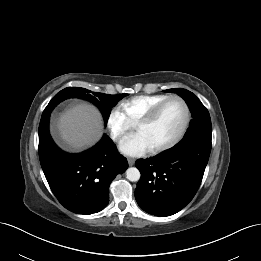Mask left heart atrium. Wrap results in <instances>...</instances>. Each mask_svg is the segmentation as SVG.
Returning a JSON list of instances; mask_svg holds the SVG:
<instances>
[{
    "label": "left heart atrium",
    "mask_w": 261,
    "mask_h": 261,
    "mask_svg": "<svg viewBox=\"0 0 261 261\" xmlns=\"http://www.w3.org/2000/svg\"><path fill=\"white\" fill-rule=\"evenodd\" d=\"M120 151L128 156H141L151 148L144 136L137 132L123 138L119 144Z\"/></svg>",
    "instance_id": "left-heart-atrium-1"
}]
</instances>
